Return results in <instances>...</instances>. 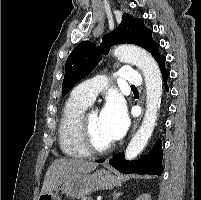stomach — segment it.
Listing matches in <instances>:
<instances>
[{
    "instance_id": "obj_1",
    "label": "stomach",
    "mask_w": 201,
    "mask_h": 200,
    "mask_svg": "<svg viewBox=\"0 0 201 200\" xmlns=\"http://www.w3.org/2000/svg\"><path fill=\"white\" fill-rule=\"evenodd\" d=\"M121 183L120 178L109 170L99 169L92 174H77L65 181L60 187L40 194L38 200H61L59 191L73 198H83L99 189H111Z\"/></svg>"
}]
</instances>
